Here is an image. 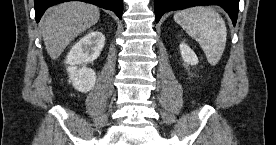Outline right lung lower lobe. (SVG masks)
Listing matches in <instances>:
<instances>
[{"mask_svg":"<svg viewBox=\"0 0 276 145\" xmlns=\"http://www.w3.org/2000/svg\"><path fill=\"white\" fill-rule=\"evenodd\" d=\"M66 1L88 2L101 8L111 10L119 17V19H122L123 0H34L36 22L40 21V18L48 7Z\"/></svg>","mask_w":276,"mask_h":145,"instance_id":"right-lung-lower-lobe-1","label":"right lung lower lobe"}]
</instances>
